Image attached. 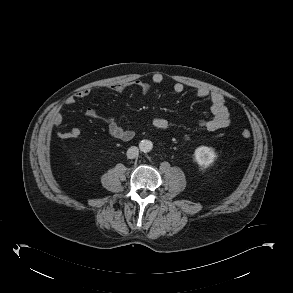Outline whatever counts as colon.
Instances as JSON below:
<instances>
[{"label": "colon", "instance_id": "1", "mask_svg": "<svg viewBox=\"0 0 293 293\" xmlns=\"http://www.w3.org/2000/svg\"><path fill=\"white\" fill-rule=\"evenodd\" d=\"M242 137H243L244 139H249V138L251 137V132H250L248 129H244V130L242 131Z\"/></svg>", "mask_w": 293, "mask_h": 293}]
</instances>
